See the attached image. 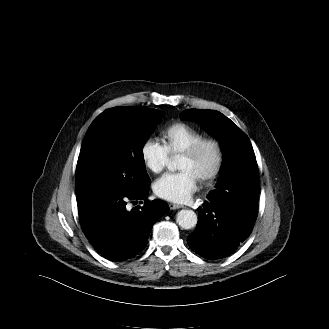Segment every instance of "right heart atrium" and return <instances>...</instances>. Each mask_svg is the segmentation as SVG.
Returning <instances> with one entry per match:
<instances>
[{
  "mask_svg": "<svg viewBox=\"0 0 329 329\" xmlns=\"http://www.w3.org/2000/svg\"><path fill=\"white\" fill-rule=\"evenodd\" d=\"M141 159L148 170L161 172L170 160V153L165 144L154 138H147L140 148Z\"/></svg>",
  "mask_w": 329,
  "mask_h": 329,
  "instance_id": "obj_1",
  "label": "right heart atrium"
}]
</instances>
